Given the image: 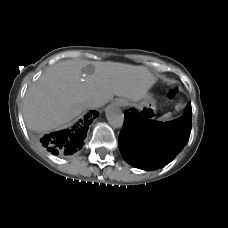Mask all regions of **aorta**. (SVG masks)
<instances>
[{
    "mask_svg": "<svg viewBox=\"0 0 228 228\" xmlns=\"http://www.w3.org/2000/svg\"><path fill=\"white\" fill-rule=\"evenodd\" d=\"M109 124L114 128H121L124 124V114L119 106L111 104L105 110Z\"/></svg>",
    "mask_w": 228,
    "mask_h": 228,
    "instance_id": "obj_1",
    "label": "aorta"
}]
</instances>
